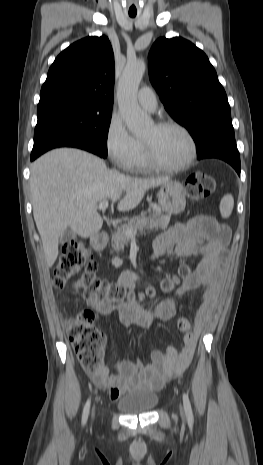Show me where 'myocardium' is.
I'll return each instance as SVG.
<instances>
[{"label": "myocardium", "mask_w": 263, "mask_h": 465, "mask_svg": "<svg viewBox=\"0 0 263 465\" xmlns=\"http://www.w3.org/2000/svg\"><path fill=\"white\" fill-rule=\"evenodd\" d=\"M153 125L157 129L176 128L180 130L188 138L191 146V151L188 158L184 162L177 165H167L157 158L150 144L141 140L144 154L149 165L154 169L165 172H179L188 169L196 159L198 153L197 142L191 131L183 124L173 120H161L155 122Z\"/></svg>", "instance_id": "1"}]
</instances>
